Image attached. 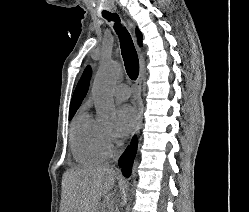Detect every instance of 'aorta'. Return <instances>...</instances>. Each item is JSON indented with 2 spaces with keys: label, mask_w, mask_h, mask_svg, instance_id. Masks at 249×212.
Segmentation results:
<instances>
[{
  "label": "aorta",
  "mask_w": 249,
  "mask_h": 212,
  "mask_svg": "<svg viewBox=\"0 0 249 212\" xmlns=\"http://www.w3.org/2000/svg\"><path fill=\"white\" fill-rule=\"evenodd\" d=\"M121 74L118 62L103 61L97 71L92 86V97L97 109V116L104 122L115 119L116 110L112 90Z\"/></svg>",
  "instance_id": "aorta-1"
}]
</instances>
